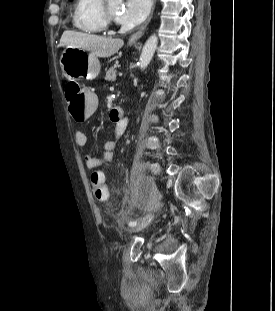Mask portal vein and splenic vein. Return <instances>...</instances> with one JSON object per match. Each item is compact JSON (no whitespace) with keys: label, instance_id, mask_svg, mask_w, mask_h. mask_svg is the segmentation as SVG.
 <instances>
[{"label":"portal vein and splenic vein","instance_id":"1","mask_svg":"<svg viewBox=\"0 0 275 311\" xmlns=\"http://www.w3.org/2000/svg\"><path fill=\"white\" fill-rule=\"evenodd\" d=\"M123 75V73H119V76H122Z\"/></svg>","mask_w":275,"mask_h":311}]
</instances>
